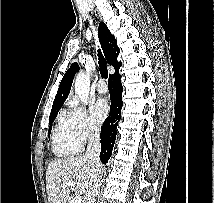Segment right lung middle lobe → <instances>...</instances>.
<instances>
[{
  "label": "right lung middle lobe",
  "mask_w": 214,
  "mask_h": 203,
  "mask_svg": "<svg viewBox=\"0 0 214 203\" xmlns=\"http://www.w3.org/2000/svg\"><path fill=\"white\" fill-rule=\"evenodd\" d=\"M56 116H57V113H56V114H53V115H51V116L49 117V125H50V127H49V131H48V136L50 135V132H51V125H52V123L54 122Z\"/></svg>",
  "instance_id": "dd1d6c3e"
}]
</instances>
